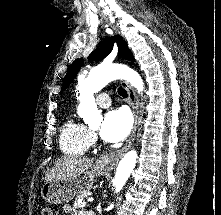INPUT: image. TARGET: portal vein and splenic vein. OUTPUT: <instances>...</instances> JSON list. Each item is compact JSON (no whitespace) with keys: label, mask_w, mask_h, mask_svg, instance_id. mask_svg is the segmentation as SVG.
Instances as JSON below:
<instances>
[{"label":"portal vein and splenic vein","mask_w":221,"mask_h":215,"mask_svg":"<svg viewBox=\"0 0 221 215\" xmlns=\"http://www.w3.org/2000/svg\"><path fill=\"white\" fill-rule=\"evenodd\" d=\"M93 200H94L93 197H89V198L87 199L88 202H92Z\"/></svg>","instance_id":"1"}]
</instances>
